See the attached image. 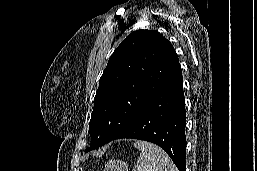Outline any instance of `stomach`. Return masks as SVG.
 <instances>
[{
    "instance_id": "stomach-1",
    "label": "stomach",
    "mask_w": 257,
    "mask_h": 171,
    "mask_svg": "<svg viewBox=\"0 0 257 171\" xmlns=\"http://www.w3.org/2000/svg\"><path fill=\"white\" fill-rule=\"evenodd\" d=\"M103 171H129L128 164L121 160H109Z\"/></svg>"
}]
</instances>
